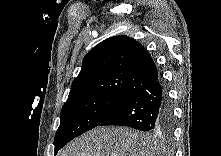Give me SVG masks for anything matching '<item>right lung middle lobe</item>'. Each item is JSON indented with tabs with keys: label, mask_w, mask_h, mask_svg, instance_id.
Returning <instances> with one entry per match:
<instances>
[{
	"label": "right lung middle lobe",
	"mask_w": 221,
	"mask_h": 156,
	"mask_svg": "<svg viewBox=\"0 0 221 156\" xmlns=\"http://www.w3.org/2000/svg\"><path fill=\"white\" fill-rule=\"evenodd\" d=\"M127 99L126 96L94 94L67 101L54 140L55 154L75 137L100 125Z\"/></svg>",
	"instance_id": "right-lung-middle-lobe-1"
}]
</instances>
